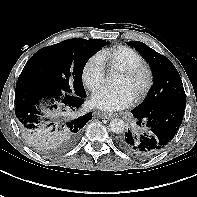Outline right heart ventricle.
<instances>
[{"instance_id":"1","label":"right heart ventricle","mask_w":197,"mask_h":197,"mask_svg":"<svg viewBox=\"0 0 197 197\" xmlns=\"http://www.w3.org/2000/svg\"><path fill=\"white\" fill-rule=\"evenodd\" d=\"M99 57L111 70L122 71L144 63L142 55L127 46L105 49L99 53Z\"/></svg>"}]
</instances>
